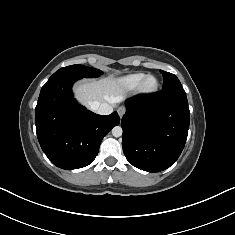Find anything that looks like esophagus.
Returning a JSON list of instances; mask_svg holds the SVG:
<instances>
[{
  "label": "esophagus",
  "mask_w": 235,
  "mask_h": 235,
  "mask_svg": "<svg viewBox=\"0 0 235 235\" xmlns=\"http://www.w3.org/2000/svg\"><path fill=\"white\" fill-rule=\"evenodd\" d=\"M117 112H118V115H119L120 117H123V115H124L125 112H126V108L123 107V106H121V107H119V108L117 109Z\"/></svg>",
  "instance_id": "34e87169"
}]
</instances>
